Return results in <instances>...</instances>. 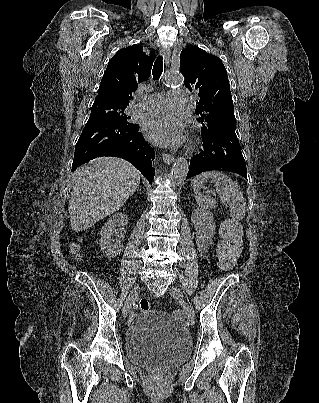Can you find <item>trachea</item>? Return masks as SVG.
I'll list each match as a JSON object with an SVG mask.
<instances>
[{"label":"trachea","instance_id":"trachea-1","mask_svg":"<svg viewBox=\"0 0 319 403\" xmlns=\"http://www.w3.org/2000/svg\"><path fill=\"white\" fill-rule=\"evenodd\" d=\"M162 72H163V57L160 55L157 57L152 69V75L154 80H159Z\"/></svg>","mask_w":319,"mask_h":403}]
</instances>
